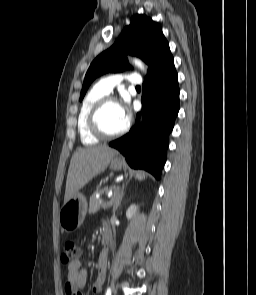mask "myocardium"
Returning a JSON list of instances; mask_svg holds the SVG:
<instances>
[{
	"label": "myocardium",
	"instance_id": "obj_1",
	"mask_svg": "<svg viewBox=\"0 0 256 295\" xmlns=\"http://www.w3.org/2000/svg\"><path fill=\"white\" fill-rule=\"evenodd\" d=\"M111 102L117 103L116 99L111 96H105L99 99L91 108L88 115V119H87V125H88L89 131L94 136L102 140H110V139L117 138L123 135L129 128L128 120L126 121V124L124 125V127L115 133H108L102 128L99 121L100 114L102 110L104 109V107Z\"/></svg>",
	"mask_w": 256,
	"mask_h": 295
}]
</instances>
